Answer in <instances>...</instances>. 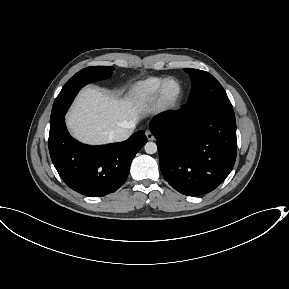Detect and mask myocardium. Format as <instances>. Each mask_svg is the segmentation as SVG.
Returning <instances> with one entry per match:
<instances>
[{"label":"myocardium","mask_w":289,"mask_h":289,"mask_svg":"<svg viewBox=\"0 0 289 289\" xmlns=\"http://www.w3.org/2000/svg\"><path fill=\"white\" fill-rule=\"evenodd\" d=\"M174 82L177 85V92L174 96L169 97L166 95V87L169 83ZM183 95V86L181 82L173 77L166 78L160 85L157 91V101L161 106L171 107L177 104Z\"/></svg>","instance_id":"myocardium-1"}]
</instances>
